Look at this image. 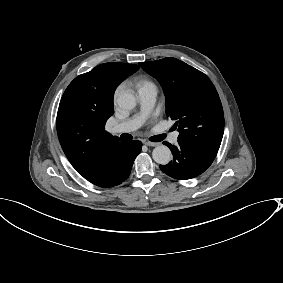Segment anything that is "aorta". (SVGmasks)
Segmentation results:
<instances>
[{"mask_svg":"<svg viewBox=\"0 0 283 283\" xmlns=\"http://www.w3.org/2000/svg\"><path fill=\"white\" fill-rule=\"evenodd\" d=\"M117 103L121 109L131 110L136 106V98L133 94L124 91L118 95ZM152 157L156 163L166 165L171 161L172 153L167 146L159 145L153 149Z\"/></svg>","mask_w":283,"mask_h":283,"instance_id":"obj_1","label":"aorta"}]
</instances>
